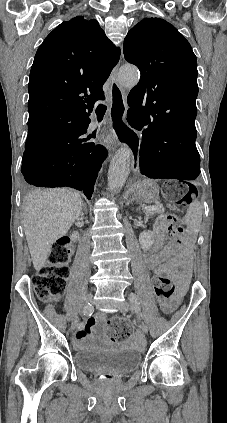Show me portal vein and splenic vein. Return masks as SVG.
Returning <instances> with one entry per match:
<instances>
[{"instance_id": "obj_1", "label": "portal vein and splenic vein", "mask_w": 227, "mask_h": 423, "mask_svg": "<svg viewBox=\"0 0 227 423\" xmlns=\"http://www.w3.org/2000/svg\"><path fill=\"white\" fill-rule=\"evenodd\" d=\"M160 206H148V208H143L144 211H155L159 210Z\"/></svg>"}]
</instances>
